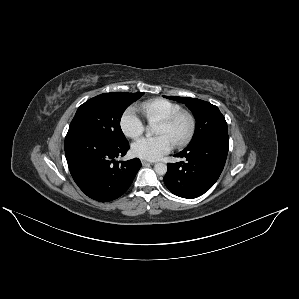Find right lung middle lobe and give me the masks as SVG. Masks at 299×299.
I'll return each mask as SVG.
<instances>
[{
    "label": "right lung middle lobe",
    "instance_id": "dd1d6c3e",
    "mask_svg": "<svg viewBox=\"0 0 299 299\" xmlns=\"http://www.w3.org/2000/svg\"><path fill=\"white\" fill-rule=\"evenodd\" d=\"M144 93H104L83 103L77 110L67 136L75 134H96L113 143L128 142L120 127L125 109Z\"/></svg>",
    "mask_w": 299,
    "mask_h": 299
}]
</instances>
